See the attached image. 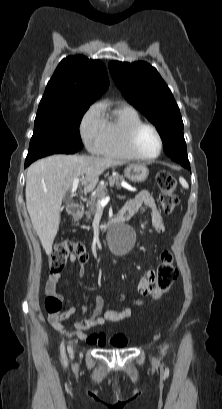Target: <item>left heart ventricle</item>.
Here are the masks:
<instances>
[{"mask_svg":"<svg viewBox=\"0 0 222 409\" xmlns=\"http://www.w3.org/2000/svg\"><path fill=\"white\" fill-rule=\"evenodd\" d=\"M137 148L145 156L155 155L159 149L156 134L151 129L144 128L137 137Z\"/></svg>","mask_w":222,"mask_h":409,"instance_id":"left-heart-ventricle-1","label":"left heart ventricle"}]
</instances>
